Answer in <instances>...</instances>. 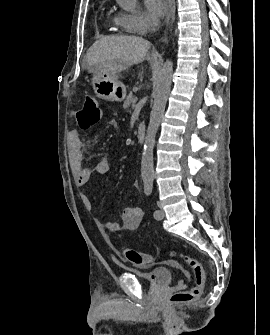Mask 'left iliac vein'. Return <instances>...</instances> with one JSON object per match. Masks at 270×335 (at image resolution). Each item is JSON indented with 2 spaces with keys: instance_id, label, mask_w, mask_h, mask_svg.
Here are the masks:
<instances>
[{
  "instance_id": "4c4485c4",
  "label": "left iliac vein",
  "mask_w": 270,
  "mask_h": 335,
  "mask_svg": "<svg viewBox=\"0 0 270 335\" xmlns=\"http://www.w3.org/2000/svg\"><path fill=\"white\" fill-rule=\"evenodd\" d=\"M164 216H165V212H164V210L160 207V208H159V215L156 217V219L161 220V219L164 218Z\"/></svg>"
}]
</instances>
